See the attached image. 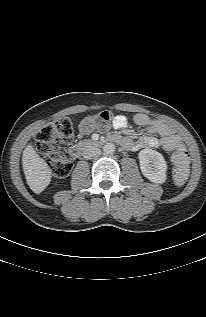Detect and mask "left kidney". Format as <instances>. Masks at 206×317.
<instances>
[{"instance_id": "left-kidney-1", "label": "left kidney", "mask_w": 206, "mask_h": 317, "mask_svg": "<svg viewBox=\"0 0 206 317\" xmlns=\"http://www.w3.org/2000/svg\"><path fill=\"white\" fill-rule=\"evenodd\" d=\"M142 174L151 182L162 184L166 181L167 164L159 152L143 149L138 155Z\"/></svg>"}]
</instances>
